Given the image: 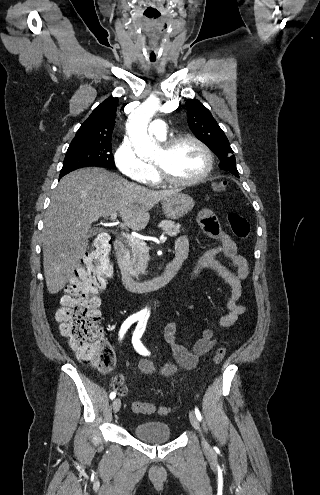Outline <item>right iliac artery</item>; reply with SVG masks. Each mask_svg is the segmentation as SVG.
<instances>
[{
	"label": "right iliac artery",
	"mask_w": 320,
	"mask_h": 495,
	"mask_svg": "<svg viewBox=\"0 0 320 495\" xmlns=\"http://www.w3.org/2000/svg\"><path fill=\"white\" fill-rule=\"evenodd\" d=\"M140 319V316L138 314H133L130 317H128L122 324L121 329L119 331V339L121 340L127 331V329L137 320ZM116 396V392H111L110 393V399H114Z\"/></svg>",
	"instance_id": "right-iliac-artery-1"
}]
</instances>
